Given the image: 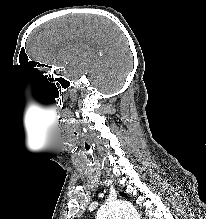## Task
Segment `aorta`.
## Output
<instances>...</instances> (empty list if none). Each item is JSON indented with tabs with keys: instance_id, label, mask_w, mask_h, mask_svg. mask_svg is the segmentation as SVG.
Here are the masks:
<instances>
[{
	"instance_id": "1",
	"label": "aorta",
	"mask_w": 206,
	"mask_h": 219,
	"mask_svg": "<svg viewBox=\"0 0 206 219\" xmlns=\"http://www.w3.org/2000/svg\"><path fill=\"white\" fill-rule=\"evenodd\" d=\"M96 219H141V216L131 203L118 200L101 206Z\"/></svg>"
}]
</instances>
